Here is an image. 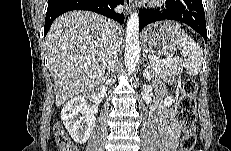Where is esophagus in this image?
I'll return each instance as SVG.
<instances>
[{
  "label": "esophagus",
  "instance_id": "34e87169",
  "mask_svg": "<svg viewBox=\"0 0 231 151\" xmlns=\"http://www.w3.org/2000/svg\"><path fill=\"white\" fill-rule=\"evenodd\" d=\"M134 8V2L132 0H125V9L127 13H130Z\"/></svg>",
  "mask_w": 231,
  "mask_h": 151
}]
</instances>
